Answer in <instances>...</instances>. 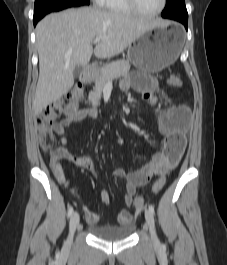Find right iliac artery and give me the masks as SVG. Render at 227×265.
Instances as JSON below:
<instances>
[{"label": "right iliac artery", "instance_id": "1", "mask_svg": "<svg viewBox=\"0 0 227 265\" xmlns=\"http://www.w3.org/2000/svg\"><path fill=\"white\" fill-rule=\"evenodd\" d=\"M73 211H74L73 207L70 206L69 209H68V218H70L72 216Z\"/></svg>", "mask_w": 227, "mask_h": 265}]
</instances>
